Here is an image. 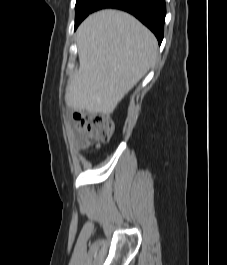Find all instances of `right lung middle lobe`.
<instances>
[{
	"instance_id": "1",
	"label": "right lung middle lobe",
	"mask_w": 227,
	"mask_h": 265,
	"mask_svg": "<svg viewBox=\"0 0 227 265\" xmlns=\"http://www.w3.org/2000/svg\"><path fill=\"white\" fill-rule=\"evenodd\" d=\"M100 0H77L75 6V26L92 13Z\"/></svg>"
}]
</instances>
